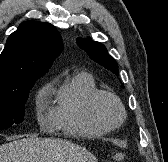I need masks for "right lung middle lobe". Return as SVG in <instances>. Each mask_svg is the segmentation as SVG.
<instances>
[{
  "label": "right lung middle lobe",
  "mask_w": 168,
  "mask_h": 162,
  "mask_svg": "<svg viewBox=\"0 0 168 162\" xmlns=\"http://www.w3.org/2000/svg\"><path fill=\"white\" fill-rule=\"evenodd\" d=\"M36 80H24L14 86L0 88V130L21 123L29 90Z\"/></svg>",
  "instance_id": "1"
}]
</instances>
